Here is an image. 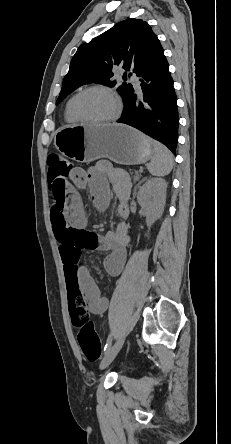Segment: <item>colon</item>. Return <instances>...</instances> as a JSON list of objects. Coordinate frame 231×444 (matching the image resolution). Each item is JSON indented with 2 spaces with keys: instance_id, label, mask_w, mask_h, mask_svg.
Here are the masks:
<instances>
[{
  "instance_id": "5ec220e1",
  "label": "colon",
  "mask_w": 231,
  "mask_h": 444,
  "mask_svg": "<svg viewBox=\"0 0 231 444\" xmlns=\"http://www.w3.org/2000/svg\"><path fill=\"white\" fill-rule=\"evenodd\" d=\"M74 164L58 153L48 158V182L50 190L57 198L60 188H64L74 172H79ZM69 309L73 324L78 329V343L90 362L97 361L101 355V341L90 319L85 300L74 285L68 288Z\"/></svg>"
}]
</instances>
